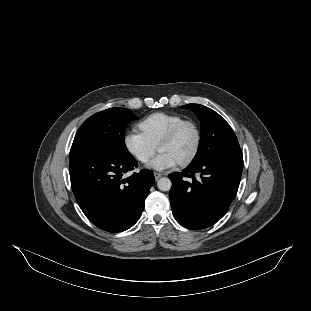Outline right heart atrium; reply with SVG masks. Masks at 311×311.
<instances>
[{"label":"right heart atrium","instance_id":"obj_1","mask_svg":"<svg viewBox=\"0 0 311 311\" xmlns=\"http://www.w3.org/2000/svg\"><path fill=\"white\" fill-rule=\"evenodd\" d=\"M123 145L127 154L139 164L148 163L156 153V147L150 145L135 128L126 132Z\"/></svg>","mask_w":311,"mask_h":311}]
</instances>
